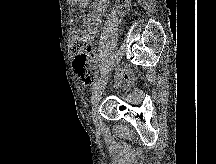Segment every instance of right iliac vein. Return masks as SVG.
<instances>
[{
  "mask_svg": "<svg viewBox=\"0 0 216 164\" xmlns=\"http://www.w3.org/2000/svg\"><path fill=\"white\" fill-rule=\"evenodd\" d=\"M107 83V79L105 78L101 83L100 86L98 87V89L95 91L93 99H92V117L95 118L97 115V108L99 105V102L101 100L102 97V93L105 89Z\"/></svg>",
  "mask_w": 216,
  "mask_h": 164,
  "instance_id": "63e3f726",
  "label": "right iliac vein"
}]
</instances>
